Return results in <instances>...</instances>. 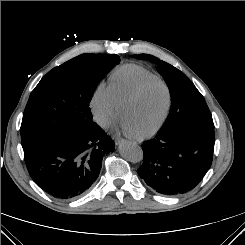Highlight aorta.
Listing matches in <instances>:
<instances>
[{
  "label": "aorta",
  "instance_id": "762f6f07",
  "mask_svg": "<svg viewBox=\"0 0 245 245\" xmlns=\"http://www.w3.org/2000/svg\"><path fill=\"white\" fill-rule=\"evenodd\" d=\"M119 153L124 159L132 163H138L143 159L142 148L130 141H124L119 145Z\"/></svg>",
  "mask_w": 245,
  "mask_h": 245
}]
</instances>
